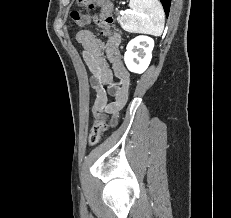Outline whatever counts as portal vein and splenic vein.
Segmentation results:
<instances>
[{
    "instance_id": "portal-vein-and-splenic-vein-1",
    "label": "portal vein and splenic vein",
    "mask_w": 231,
    "mask_h": 218,
    "mask_svg": "<svg viewBox=\"0 0 231 218\" xmlns=\"http://www.w3.org/2000/svg\"><path fill=\"white\" fill-rule=\"evenodd\" d=\"M129 12H130V10H125V11L121 10V11H120V14H121V15H124V14L129 13Z\"/></svg>"
}]
</instances>
